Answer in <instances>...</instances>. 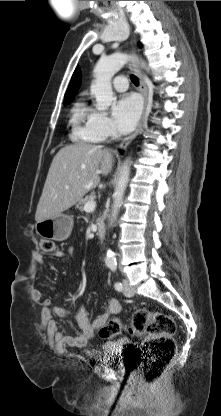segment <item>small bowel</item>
<instances>
[{
  "label": "small bowel",
  "mask_w": 221,
  "mask_h": 416,
  "mask_svg": "<svg viewBox=\"0 0 221 416\" xmlns=\"http://www.w3.org/2000/svg\"><path fill=\"white\" fill-rule=\"evenodd\" d=\"M53 255L58 259H64L66 257L65 253L62 250H56ZM68 255L73 257L74 248H68ZM34 263L36 265H44V260L39 253L34 255ZM35 298L38 301H41L43 304L42 317L48 325V328L53 333L54 338L57 343L61 345H67L70 347L83 348L87 345L88 341L95 337L99 328L105 324L108 319L112 316H115L120 313L121 305L120 302L112 298L108 301L106 309L103 313L98 315L93 320L90 319L89 313L86 308L82 305L78 308L76 315L73 317L76 325L78 327V332L76 335H70L58 329L57 322L53 319L54 316L61 318H70L71 314L60 306H50V300L44 299L41 292L37 291L35 293ZM109 349L115 346L113 342H107L105 344Z\"/></svg>",
  "instance_id": "small-bowel-1"
}]
</instances>
